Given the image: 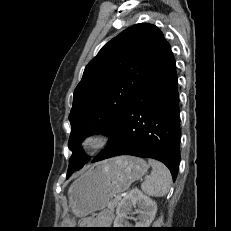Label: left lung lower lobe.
Instances as JSON below:
<instances>
[{
    "instance_id": "obj_1",
    "label": "left lung lower lobe",
    "mask_w": 231,
    "mask_h": 231,
    "mask_svg": "<svg viewBox=\"0 0 231 231\" xmlns=\"http://www.w3.org/2000/svg\"><path fill=\"white\" fill-rule=\"evenodd\" d=\"M109 136L107 147L92 162L118 155L153 158L163 162L176 179L180 162L179 94L175 59L167 41Z\"/></svg>"
}]
</instances>
